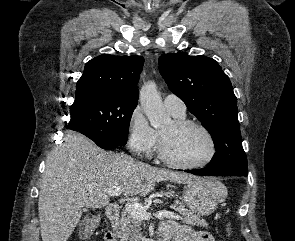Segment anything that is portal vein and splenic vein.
I'll list each match as a JSON object with an SVG mask.
<instances>
[{
	"label": "portal vein and splenic vein",
	"mask_w": 295,
	"mask_h": 241,
	"mask_svg": "<svg viewBox=\"0 0 295 241\" xmlns=\"http://www.w3.org/2000/svg\"><path fill=\"white\" fill-rule=\"evenodd\" d=\"M122 193L121 187H114L107 190L109 196H118ZM125 208L137 219L146 220L151 218V213H148L146 209L139 203H127ZM155 217H165L174 220H180L181 217L173 212L161 211L154 214Z\"/></svg>",
	"instance_id": "portal-vein-and-splenic-vein-1"
}]
</instances>
